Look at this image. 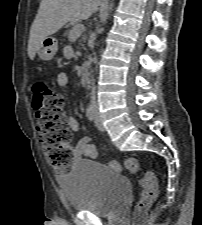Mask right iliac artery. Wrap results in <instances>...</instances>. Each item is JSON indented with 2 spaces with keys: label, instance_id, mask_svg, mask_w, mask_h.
<instances>
[{
  "label": "right iliac artery",
  "instance_id": "obj_1",
  "mask_svg": "<svg viewBox=\"0 0 202 225\" xmlns=\"http://www.w3.org/2000/svg\"><path fill=\"white\" fill-rule=\"evenodd\" d=\"M86 117L88 120L93 121L95 119V111L93 105H89L86 109Z\"/></svg>",
  "mask_w": 202,
  "mask_h": 225
}]
</instances>
